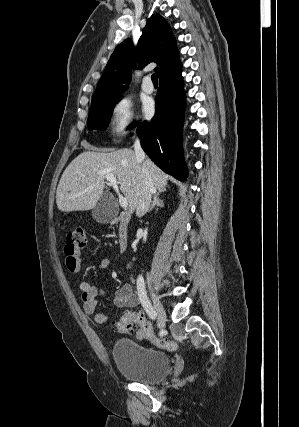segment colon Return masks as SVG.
<instances>
[{
    "mask_svg": "<svg viewBox=\"0 0 299 427\" xmlns=\"http://www.w3.org/2000/svg\"><path fill=\"white\" fill-rule=\"evenodd\" d=\"M85 243V231L83 228L77 227L67 234V245L64 250L69 254H74L83 248ZM137 326L138 330L140 329L143 334H151L148 321L140 313L126 312L120 317L119 321L114 324V328L120 333L133 332ZM153 342L162 349L169 351L177 349V344L168 338L154 337Z\"/></svg>",
    "mask_w": 299,
    "mask_h": 427,
    "instance_id": "1",
    "label": "colon"
}]
</instances>
